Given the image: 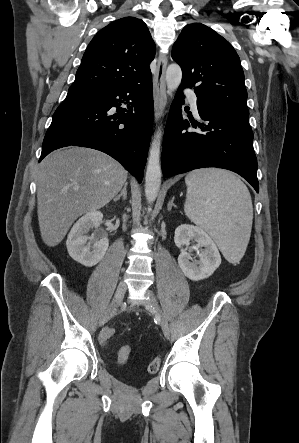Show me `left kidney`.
<instances>
[{"instance_id":"1","label":"left kidney","mask_w":299,"mask_h":443,"mask_svg":"<svg viewBox=\"0 0 299 443\" xmlns=\"http://www.w3.org/2000/svg\"><path fill=\"white\" fill-rule=\"evenodd\" d=\"M196 242L193 249L201 250L200 260L190 262L189 252L181 249L178 264L186 277L193 281L205 279L212 275L221 264V256L211 237L201 228L183 224L176 228L174 242L177 247L189 246L190 241Z\"/></svg>"}]
</instances>
